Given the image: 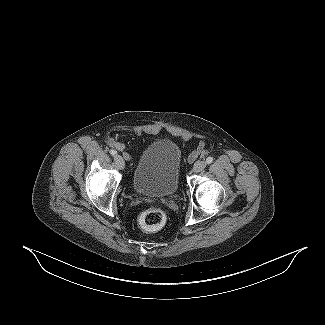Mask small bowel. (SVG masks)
Returning <instances> with one entry per match:
<instances>
[{"label":"small bowel","mask_w":325,"mask_h":325,"mask_svg":"<svg viewBox=\"0 0 325 325\" xmlns=\"http://www.w3.org/2000/svg\"><path fill=\"white\" fill-rule=\"evenodd\" d=\"M108 145L115 148V149H117V150H119V151H121L126 160L131 159V154L129 152L125 151V145L122 142L117 141V140H115L113 138H110L108 140Z\"/></svg>","instance_id":"1"}]
</instances>
